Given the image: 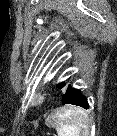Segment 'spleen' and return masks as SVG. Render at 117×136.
I'll use <instances>...</instances> for the list:
<instances>
[{
  "label": "spleen",
  "mask_w": 117,
  "mask_h": 136,
  "mask_svg": "<svg viewBox=\"0 0 117 136\" xmlns=\"http://www.w3.org/2000/svg\"><path fill=\"white\" fill-rule=\"evenodd\" d=\"M49 127L55 128L58 136H88L89 119L86 112L74 106H64L49 115Z\"/></svg>",
  "instance_id": "spleen-1"
}]
</instances>
